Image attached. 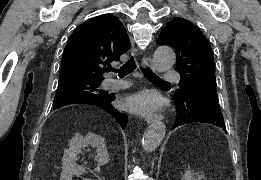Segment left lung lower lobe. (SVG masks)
Segmentation results:
<instances>
[{
    "mask_svg": "<svg viewBox=\"0 0 261 180\" xmlns=\"http://www.w3.org/2000/svg\"><path fill=\"white\" fill-rule=\"evenodd\" d=\"M177 116L172 129L192 123L203 122L225 129L218 100L205 97L194 88L185 87L183 95L175 96Z\"/></svg>",
    "mask_w": 261,
    "mask_h": 180,
    "instance_id": "0a47b994",
    "label": "left lung lower lobe"
}]
</instances>
